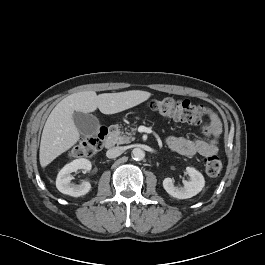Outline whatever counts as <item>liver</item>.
<instances>
[{"label":"liver","mask_w":265,"mask_h":265,"mask_svg":"<svg viewBox=\"0 0 265 265\" xmlns=\"http://www.w3.org/2000/svg\"><path fill=\"white\" fill-rule=\"evenodd\" d=\"M150 96L151 93L141 90L99 95L83 91L67 96L55 106L45 123L39 151L41 167H46L80 139L73 120L75 111L87 114L98 108L103 114H115L141 104Z\"/></svg>","instance_id":"6515ba94"}]
</instances>
